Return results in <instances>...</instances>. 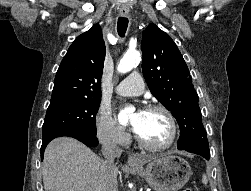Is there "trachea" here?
Listing matches in <instances>:
<instances>
[{"label": "trachea", "instance_id": "3493384b", "mask_svg": "<svg viewBox=\"0 0 251 191\" xmlns=\"http://www.w3.org/2000/svg\"><path fill=\"white\" fill-rule=\"evenodd\" d=\"M127 27H128V19L125 18L124 16L119 17L117 23V32L121 38L124 37Z\"/></svg>", "mask_w": 251, "mask_h": 191}]
</instances>
